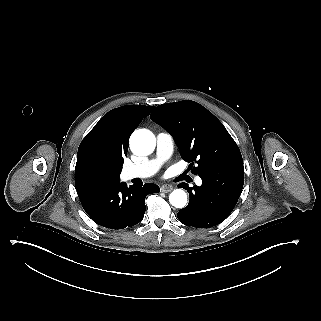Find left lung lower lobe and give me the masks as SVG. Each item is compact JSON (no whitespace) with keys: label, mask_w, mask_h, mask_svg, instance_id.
<instances>
[{"label":"left lung lower lobe","mask_w":321,"mask_h":321,"mask_svg":"<svg viewBox=\"0 0 321 321\" xmlns=\"http://www.w3.org/2000/svg\"><path fill=\"white\" fill-rule=\"evenodd\" d=\"M202 185L189 187L187 207L178 212V219L187 226L209 228L220 224L235 207L244 184L243 162L218 165L199 173Z\"/></svg>","instance_id":"obj_1"}]
</instances>
